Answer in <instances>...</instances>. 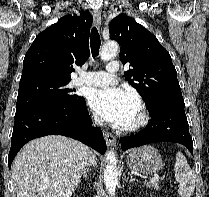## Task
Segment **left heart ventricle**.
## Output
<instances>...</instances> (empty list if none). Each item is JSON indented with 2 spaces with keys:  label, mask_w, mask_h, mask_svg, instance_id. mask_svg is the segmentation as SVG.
Listing matches in <instances>:
<instances>
[{
  "label": "left heart ventricle",
  "mask_w": 209,
  "mask_h": 197,
  "mask_svg": "<svg viewBox=\"0 0 209 197\" xmlns=\"http://www.w3.org/2000/svg\"><path fill=\"white\" fill-rule=\"evenodd\" d=\"M137 116H138V112H137V115H136V117H135V120L137 119ZM135 120H134V122H135Z\"/></svg>",
  "instance_id": "left-heart-ventricle-1"
}]
</instances>
